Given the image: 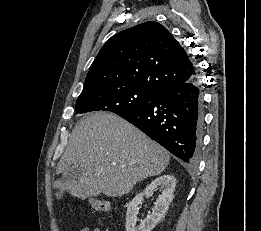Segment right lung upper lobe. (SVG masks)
Here are the masks:
<instances>
[{
  "instance_id": "1",
  "label": "right lung upper lobe",
  "mask_w": 261,
  "mask_h": 231,
  "mask_svg": "<svg viewBox=\"0 0 261 231\" xmlns=\"http://www.w3.org/2000/svg\"><path fill=\"white\" fill-rule=\"evenodd\" d=\"M196 69L161 24L145 22L111 37L92 63L81 93L138 87L158 94L184 83Z\"/></svg>"
}]
</instances>
